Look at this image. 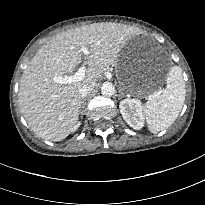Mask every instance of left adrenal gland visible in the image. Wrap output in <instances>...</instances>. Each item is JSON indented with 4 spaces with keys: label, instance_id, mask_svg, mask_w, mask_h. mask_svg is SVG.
Listing matches in <instances>:
<instances>
[{
    "label": "left adrenal gland",
    "instance_id": "obj_1",
    "mask_svg": "<svg viewBox=\"0 0 205 205\" xmlns=\"http://www.w3.org/2000/svg\"><path fill=\"white\" fill-rule=\"evenodd\" d=\"M120 92V95H119V98L123 97V96H127L124 94V92L122 91V89L119 91Z\"/></svg>",
    "mask_w": 205,
    "mask_h": 205
}]
</instances>
